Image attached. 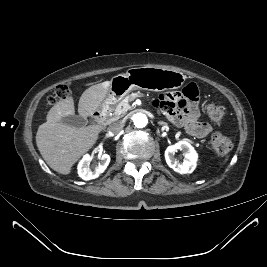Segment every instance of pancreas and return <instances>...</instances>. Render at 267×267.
<instances>
[{
	"label": "pancreas",
	"instance_id": "1",
	"mask_svg": "<svg viewBox=\"0 0 267 267\" xmlns=\"http://www.w3.org/2000/svg\"><path fill=\"white\" fill-rule=\"evenodd\" d=\"M134 99L132 95L125 96L118 104L112 106L108 112V121H116L124 116L129 109V102Z\"/></svg>",
	"mask_w": 267,
	"mask_h": 267
}]
</instances>
